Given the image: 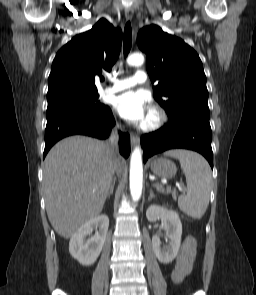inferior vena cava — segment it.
Masks as SVG:
<instances>
[{"mask_svg": "<svg viewBox=\"0 0 256 295\" xmlns=\"http://www.w3.org/2000/svg\"><path fill=\"white\" fill-rule=\"evenodd\" d=\"M119 128H120L119 126H116L112 130L111 136L109 138V147H110L111 153L114 156L117 151V140H118L117 130ZM119 167H122V159H113L112 174H119Z\"/></svg>", "mask_w": 256, "mask_h": 295, "instance_id": "1", "label": "inferior vena cava"}]
</instances>
